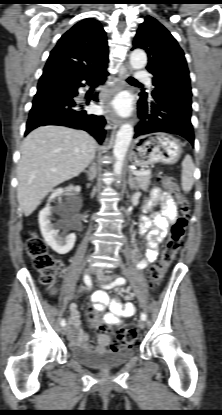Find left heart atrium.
<instances>
[{
  "label": "left heart atrium",
  "instance_id": "39dd6f15",
  "mask_svg": "<svg viewBox=\"0 0 222 415\" xmlns=\"http://www.w3.org/2000/svg\"><path fill=\"white\" fill-rule=\"evenodd\" d=\"M114 106L120 113H123V114L128 113L131 108L130 100L125 95L118 97L116 101L114 102Z\"/></svg>",
  "mask_w": 222,
  "mask_h": 415
}]
</instances>
